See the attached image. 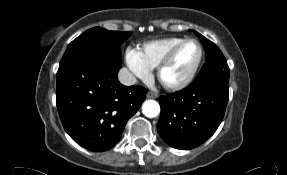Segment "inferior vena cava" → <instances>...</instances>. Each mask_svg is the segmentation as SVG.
<instances>
[{"label": "inferior vena cava", "mask_w": 287, "mask_h": 175, "mask_svg": "<svg viewBox=\"0 0 287 175\" xmlns=\"http://www.w3.org/2000/svg\"><path fill=\"white\" fill-rule=\"evenodd\" d=\"M118 79L125 86L134 85L137 82L136 77L126 68H122L118 73Z\"/></svg>", "instance_id": "1"}]
</instances>
